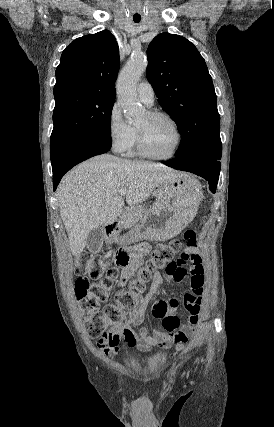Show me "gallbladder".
I'll return each mask as SVG.
<instances>
[{
    "instance_id": "gallbladder-1",
    "label": "gallbladder",
    "mask_w": 274,
    "mask_h": 427,
    "mask_svg": "<svg viewBox=\"0 0 274 427\" xmlns=\"http://www.w3.org/2000/svg\"><path fill=\"white\" fill-rule=\"evenodd\" d=\"M103 237V227H96V229H91L87 237V247L89 251L98 253L103 245Z\"/></svg>"
}]
</instances>
